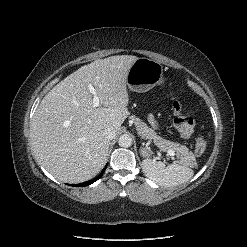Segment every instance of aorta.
<instances>
[{"mask_svg": "<svg viewBox=\"0 0 247 247\" xmlns=\"http://www.w3.org/2000/svg\"><path fill=\"white\" fill-rule=\"evenodd\" d=\"M118 144L120 147L128 148L132 145V138L128 134H123L118 139Z\"/></svg>", "mask_w": 247, "mask_h": 247, "instance_id": "aorta-1", "label": "aorta"}]
</instances>
